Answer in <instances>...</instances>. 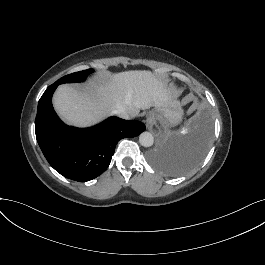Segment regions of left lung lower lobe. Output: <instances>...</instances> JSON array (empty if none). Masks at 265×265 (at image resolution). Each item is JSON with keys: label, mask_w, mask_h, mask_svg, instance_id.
Masks as SVG:
<instances>
[{"label": "left lung lower lobe", "mask_w": 265, "mask_h": 265, "mask_svg": "<svg viewBox=\"0 0 265 265\" xmlns=\"http://www.w3.org/2000/svg\"><path fill=\"white\" fill-rule=\"evenodd\" d=\"M211 137V122L207 115L196 117L181 135L159 143L148 159L169 176H180L196 167L206 154Z\"/></svg>", "instance_id": "obj_1"}]
</instances>
